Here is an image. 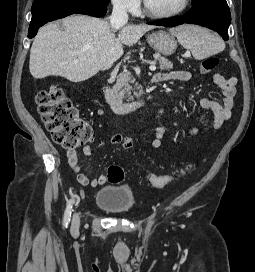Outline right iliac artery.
<instances>
[{
    "instance_id": "right-iliac-artery-1",
    "label": "right iliac artery",
    "mask_w": 255,
    "mask_h": 272,
    "mask_svg": "<svg viewBox=\"0 0 255 272\" xmlns=\"http://www.w3.org/2000/svg\"><path fill=\"white\" fill-rule=\"evenodd\" d=\"M74 203V200L71 199L69 202H68V205L66 207V211H65V214H64V226L67 227L69 222H70V218H71V210H72V205Z\"/></svg>"
}]
</instances>
